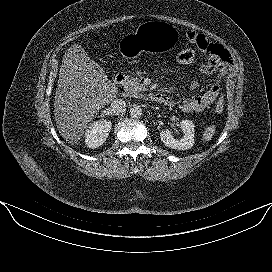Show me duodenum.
Listing matches in <instances>:
<instances>
[{"label":"duodenum","mask_w":272,"mask_h":272,"mask_svg":"<svg viewBox=\"0 0 272 272\" xmlns=\"http://www.w3.org/2000/svg\"><path fill=\"white\" fill-rule=\"evenodd\" d=\"M126 81V75L123 73H119L115 77V83L119 86H121ZM151 100L154 102H157L162 105H170L171 104V98L167 95L155 93L150 96Z\"/></svg>","instance_id":"obj_1"}]
</instances>
